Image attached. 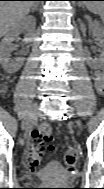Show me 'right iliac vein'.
Segmentation results:
<instances>
[{"label": "right iliac vein", "mask_w": 104, "mask_h": 189, "mask_svg": "<svg viewBox=\"0 0 104 189\" xmlns=\"http://www.w3.org/2000/svg\"><path fill=\"white\" fill-rule=\"evenodd\" d=\"M38 109V104L35 103L30 111L28 112L23 124H22V129H26L27 131L30 130V128L33 126L34 121H35V115Z\"/></svg>", "instance_id": "obj_1"}]
</instances>
